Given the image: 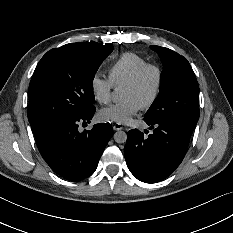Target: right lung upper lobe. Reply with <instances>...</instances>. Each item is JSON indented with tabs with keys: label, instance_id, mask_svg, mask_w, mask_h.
<instances>
[{
	"label": "right lung upper lobe",
	"instance_id": "cb5924a9",
	"mask_svg": "<svg viewBox=\"0 0 233 233\" xmlns=\"http://www.w3.org/2000/svg\"><path fill=\"white\" fill-rule=\"evenodd\" d=\"M91 42H93V41H91ZM93 43H96V42H93ZM107 45H112V44L109 43V44H107Z\"/></svg>",
	"mask_w": 233,
	"mask_h": 233
}]
</instances>
